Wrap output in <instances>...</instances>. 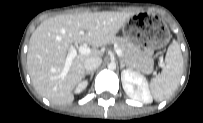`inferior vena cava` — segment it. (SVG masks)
Here are the masks:
<instances>
[{
	"label": "inferior vena cava",
	"mask_w": 203,
	"mask_h": 123,
	"mask_svg": "<svg viewBox=\"0 0 203 123\" xmlns=\"http://www.w3.org/2000/svg\"><path fill=\"white\" fill-rule=\"evenodd\" d=\"M101 63L102 59L100 57H92L86 59L83 63V66L86 71H94L101 65Z\"/></svg>",
	"instance_id": "obj_1"
}]
</instances>
